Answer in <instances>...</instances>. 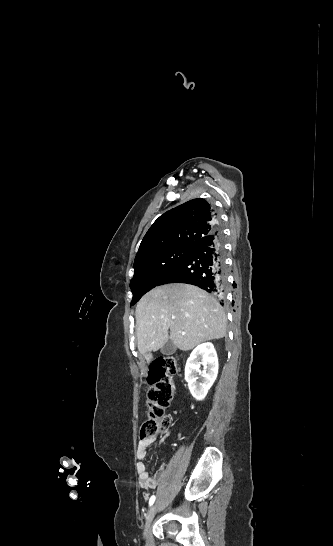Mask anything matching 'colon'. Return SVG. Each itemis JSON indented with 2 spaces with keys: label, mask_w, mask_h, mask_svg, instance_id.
<instances>
[{
  "label": "colon",
  "mask_w": 333,
  "mask_h": 546,
  "mask_svg": "<svg viewBox=\"0 0 333 546\" xmlns=\"http://www.w3.org/2000/svg\"><path fill=\"white\" fill-rule=\"evenodd\" d=\"M177 371V361L171 357L160 358L152 363L147 377L150 387L147 397V419L141 429L143 439H152L157 434L169 430L171 420L165 414V410L174 397L173 375Z\"/></svg>",
  "instance_id": "obj_1"
}]
</instances>
